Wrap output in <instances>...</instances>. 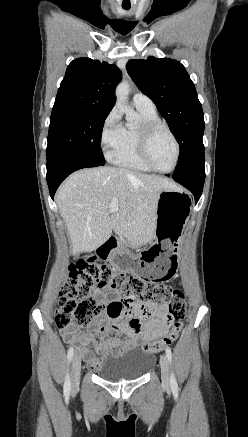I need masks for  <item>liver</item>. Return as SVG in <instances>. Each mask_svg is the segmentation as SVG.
Segmentation results:
<instances>
[{
    "instance_id": "1",
    "label": "liver",
    "mask_w": 248,
    "mask_h": 437,
    "mask_svg": "<svg viewBox=\"0 0 248 437\" xmlns=\"http://www.w3.org/2000/svg\"><path fill=\"white\" fill-rule=\"evenodd\" d=\"M176 188L167 178L123 168L105 166L73 173L56 193L73 254L97 249L112 230L134 245L150 243L159 194ZM112 197L119 207L113 213L109 211Z\"/></svg>"
}]
</instances>
